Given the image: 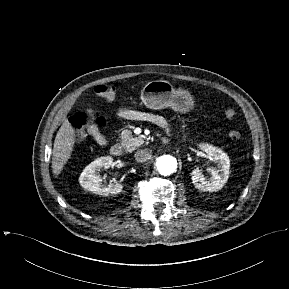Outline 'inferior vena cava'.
<instances>
[{
  "instance_id": "1",
  "label": "inferior vena cava",
  "mask_w": 289,
  "mask_h": 289,
  "mask_svg": "<svg viewBox=\"0 0 289 289\" xmlns=\"http://www.w3.org/2000/svg\"><path fill=\"white\" fill-rule=\"evenodd\" d=\"M151 157V150L149 149H140L135 153V159L138 162H145Z\"/></svg>"
}]
</instances>
